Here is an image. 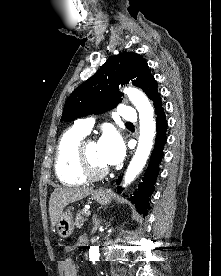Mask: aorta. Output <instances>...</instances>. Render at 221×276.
Instances as JSON below:
<instances>
[{
    "instance_id": "762f6f07",
    "label": "aorta",
    "mask_w": 221,
    "mask_h": 276,
    "mask_svg": "<svg viewBox=\"0 0 221 276\" xmlns=\"http://www.w3.org/2000/svg\"><path fill=\"white\" fill-rule=\"evenodd\" d=\"M136 107L140 120V136L134 157L132 158L124 176V186L130 184L142 171L149 157L155 136L156 123L153 118L154 110L147 96L135 88H125L123 91ZM99 248L93 246L89 250V259L98 261Z\"/></svg>"
}]
</instances>
